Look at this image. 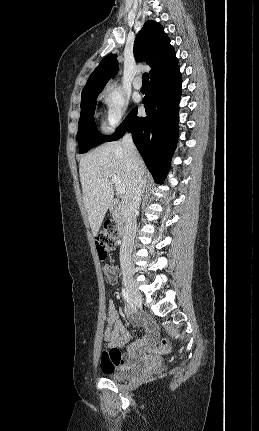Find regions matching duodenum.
<instances>
[{"mask_svg":"<svg viewBox=\"0 0 259 431\" xmlns=\"http://www.w3.org/2000/svg\"><path fill=\"white\" fill-rule=\"evenodd\" d=\"M111 211L115 214L118 225H119V234H118V243L121 244L124 241V238L127 233L128 220L126 211L123 203L120 200H114L110 206Z\"/></svg>","mask_w":259,"mask_h":431,"instance_id":"410a0bca","label":"duodenum"}]
</instances>
